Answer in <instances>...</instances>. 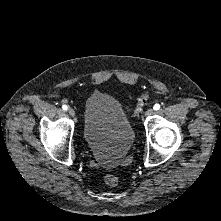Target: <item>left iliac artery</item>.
I'll use <instances>...</instances> for the list:
<instances>
[{"label":"left iliac artery","instance_id":"44dca946","mask_svg":"<svg viewBox=\"0 0 221 221\" xmlns=\"http://www.w3.org/2000/svg\"><path fill=\"white\" fill-rule=\"evenodd\" d=\"M159 108H160L159 104H155L154 107H153L154 110H159Z\"/></svg>","mask_w":221,"mask_h":221}]
</instances>
